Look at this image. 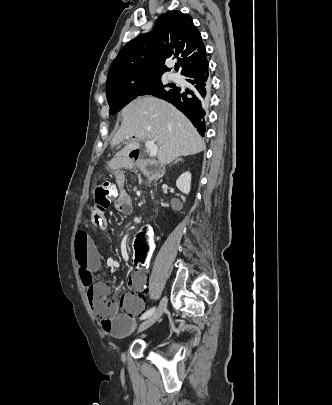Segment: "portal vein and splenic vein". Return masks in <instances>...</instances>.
<instances>
[{"mask_svg":"<svg viewBox=\"0 0 332 405\" xmlns=\"http://www.w3.org/2000/svg\"><path fill=\"white\" fill-rule=\"evenodd\" d=\"M145 147L149 151V155L151 157H155L157 155L158 146L153 141H146L145 142Z\"/></svg>","mask_w":332,"mask_h":405,"instance_id":"portal-vein-and-splenic-vein-1","label":"portal vein and splenic vein"}]
</instances>
